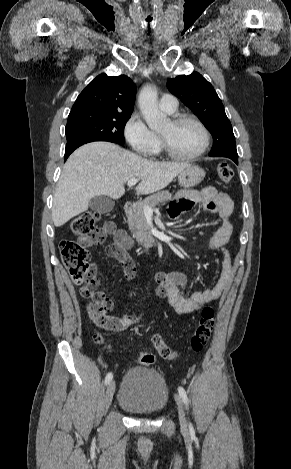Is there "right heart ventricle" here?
Listing matches in <instances>:
<instances>
[{
  "mask_svg": "<svg viewBox=\"0 0 291 469\" xmlns=\"http://www.w3.org/2000/svg\"><path fill=\"white\" fill-rule=\"evenodd\" d=\"M159 150H160V141H159V146H158L157 150L155 151V153H158Z\"/></svg>",
  "mask_w": 291,
  "mask_h": 469,
  "instance_id": "obj_1",
  "label": "right heart ventricle"
}]
</instances>
